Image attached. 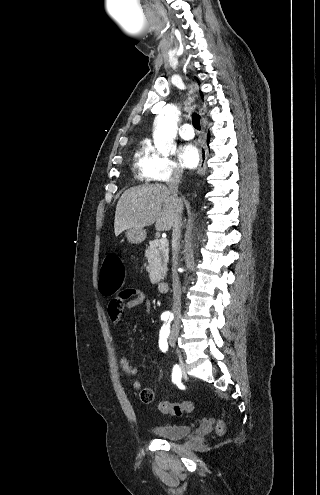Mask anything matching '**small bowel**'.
<instances>
[{"label": "small bowel", "mask_w": 320, "mask_h": 495, "mask_svg": "<svg viewBox=\"0 0 320 495\" xmlns=\"http://www.w3.org/2000/svg\"><path fill=\"white\" fill-rule=\"evenodd\" d=\"M122 292L127 293L128 295L124 301L120 302L118 294H116L111 298L108 305V316L111 324L115 327L120 326L123 313L126 310H131L140 305H144L147 312L151 310V301L142 290L128 288ZM120 365L122 370L129 376H134L138 373V369L131 364L123 353H121ZM132 387L135 390H139L141 389V383L139 381H134Z\"/></svg>", "instance_id": "1"}]
</instances>
